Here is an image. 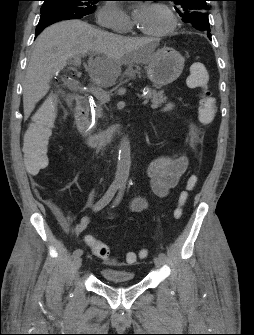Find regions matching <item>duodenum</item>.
<instances>
[{
    "label": "duodenum",
    "mask_w": 254,
    "mask_h": 335,
    "mask_svg": "<svg viewBox=\"0 0 254 335\" xmlns=\"http://www.w3.org/2000/svg\"><path fill=\"white\" fill-rule=\"evenodd\" d=\"M89 108L90 104L85 96L77 97L75 122L78 132L88 141L91 147H99L102 144L110 143L116 134L118 126L112 125L102 135L92 137L89 134Z\"/></svg>",
    "instance_id": "obj_1"
}]
</instances>
